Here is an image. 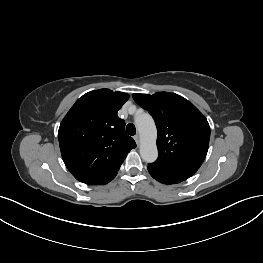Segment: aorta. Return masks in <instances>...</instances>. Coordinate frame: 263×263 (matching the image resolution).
Segmentation results:
<instances>
[{"instance_id":"aorta-1","label":"aorta","mask_w":263,"mask_h":263,"mask_svg":"<svg viewBox=\"0 0 263 263\" xmlns=\"http://www.w3.org/2000/svg\"><path fill=\"white\" fill-rule=\"evenodd\" d=\"M140 135V155L147 162L152 163L158 157L156 146L157 129L149 114H143L135 120Z\"/></svg>"}]
</instances>
